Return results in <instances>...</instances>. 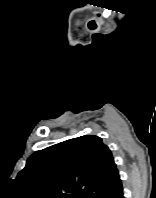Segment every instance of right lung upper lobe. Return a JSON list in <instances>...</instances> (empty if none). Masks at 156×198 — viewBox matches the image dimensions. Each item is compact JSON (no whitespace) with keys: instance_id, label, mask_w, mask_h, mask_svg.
Listing matches in <instances>:
<instances>
[{"instance_id":"right-lung-upper-lobe-1","label":"right lung upper lobe","mask_w":156,"mask_h":198,"mask_svg":"<svg viewBox=\"0 0 156 198\" xmlns=\"http://www.w3.org/2000/svg\"><path fill=\"white\" fill-rule=\"evenodd\" d=\"M17 179L40 198H109L122 187L111 151L94 135L35 152Z\"/></svg>"}]
</instances>
